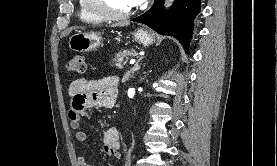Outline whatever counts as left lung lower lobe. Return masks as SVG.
I'll use <instances>...</instances> for the list:
<instances>
[{
	"instance_id": "0a47b994",
	"label": "left lung lower lobe",
	"mask_w": 277,
	"mask_h": 166,
	"mask_svg": "<svg viewBox=\"0 0 277 166\" xmlns=\"http://www.w3.org/2000/svg\"><path fill=\"white\" fill-rule=\"evenodd\" d=\"M200 2L201 0H176L168 11H164L163 0H154V5L146 13L132 21L148 25L160 34L174 36L187 49L194 18L200 11Z\"/></svg>"
}]
</instances>
